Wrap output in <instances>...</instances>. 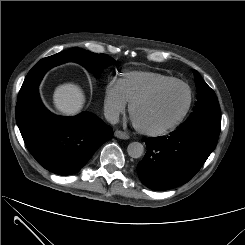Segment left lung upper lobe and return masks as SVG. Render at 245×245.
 Here are the masks:
<instances>
[{
	"mask_svg": "<svg viewBox=\"0 0 245 245\" xmlns=\"http://www.w3.org/2000/svg\"><path fill=\"white\" fill-rule=\"evenodd\" d=\"M195 84L197 87V103L194 112L182 127L207 126L221 130V113L218 99L214 91L204 82L195 70Z\"/></svg>",
	"mask_w": 245,
	"mask_h": 245,
	"instance_id": "left-lung-upper-lobe-1",
	"label": "left lung upper lobe"
}]
</instances>
